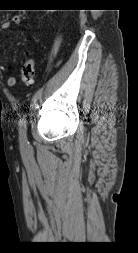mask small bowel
I'll return each mask as SVG.
<instances>
[{
  "mask_svg": "<svg viewBox=\"0 0 138 253\" xmlns=\"http://www.w3.org/2000/svg\"><path fill=\"white\" fill-rule=\"evenodd\" d=\"M20 23V18L18 16H15V17H12L10 20L8 21H5L2 25H1V28L3 31H8L10 30L12 27L18 25ZM5 43V41H4ZM10 68H9V65L4 62V63H0V71L1 72H9ZM17 80H16V77L14 76H11L8 78L7 80V85L9 87H13L15 86Z\"/></svg>",
  "mask_w": 138,
  "mask_h": 253,
  "instance_id": "c3829d8e",
  "label": "small bowel"
}]
</instances>
